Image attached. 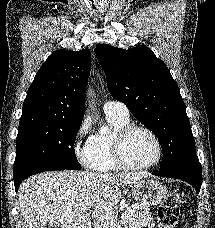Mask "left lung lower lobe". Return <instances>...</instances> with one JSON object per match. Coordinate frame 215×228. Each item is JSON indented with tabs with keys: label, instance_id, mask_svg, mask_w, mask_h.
I'll list each match as a JSON object with an SVG mask.
<instances>
[{
	"label": "left lung lower lobe",
	"instance_id": "obj_1",
	"mask_svg": "<svg viewBox=\"0 0 215 228\" xmlns=\"http://www.w3.org/2000/svg\"><path fill=\"white\" fill-rule=\"evenodd\" d=\"M160 177L181 179L191 184L198 193L202 184V172L196 153L189 154L173 164L153 172Z\"/></svg>",
	"mask_w": 215,
	"mask_h": 228
}]
</instances>
